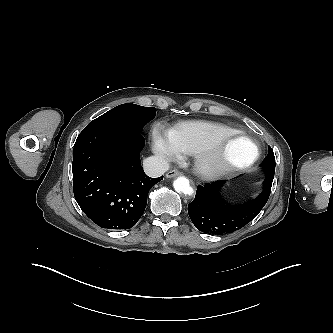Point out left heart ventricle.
<instances>
[{
    "label": "left heart ventricle",
    "mask_w": 333,
    "mask_h": 333,
    "mask_svg": "<svg viewBox=\"0 0 333 333\" xmlns=\"http://www.w3.org/2000/svg\"><path fill=\"white\" fill-rule=\"evenodd\" d=\"M253 151V147L242 140L231 141L225 147L226 156L234 162L247 160L253 154Z\"/></svg>",
    "instance_id": "b2bd125f"
}]
</instances>
